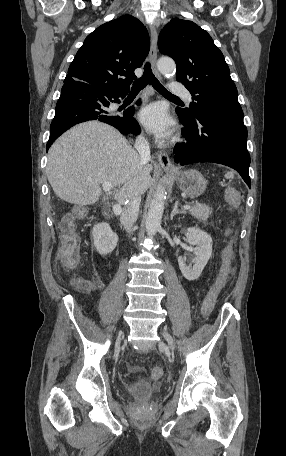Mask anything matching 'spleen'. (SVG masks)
<instances>
[{"instance_id":"obj_1","label":"spleen","mask_w":286,"mask_h":456,"mask_svg":"<svg viewBox=\"0 0 286 456\" xmlns=\"http://www.w3.org/2000/svg\"><path fill=\"white\" fill-rule=\"evenodd\" d=\"M225 177L228 178V179H233L234 178V172L233 171H228L225 174Z\"/></svg>"}]
</instances>
